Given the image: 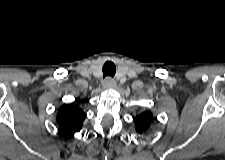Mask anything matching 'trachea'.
Here are the masks:
<instances>
[{
  "instance_id": "obj_1",
  "label": "trachea",
  "mask_w": 225,
  "mask_h": 160,
  "mask_svg": "<svg viewBox=\"0 0 225 160\" xmlns=\"http://www.w3.org/2000/svg\"><path fill=\"white\" fill-rule=\"evenodd\" d=\"M102 71H103L104 77H106V76L113 77L116 73V66L113 62L107 61L103 65Z\"/></svg>"
}]
</instances>
